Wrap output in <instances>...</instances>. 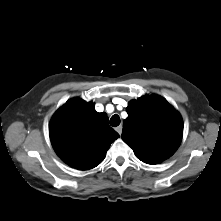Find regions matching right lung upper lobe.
Masks as SVG:
<instances>
[{"label": "right lung upper lobe", "instance_id": "right-lung-upper-lobe-1", "mask_svg": "<svg viewBox=\"0 0 221 221\" xmlns=\"http://www.w3.org/2000/svg\"><path fill=\"white\" fill-rule=\"evenodd\" d=\"M49 134L57 155L68 165L88 170L99 165L119 134L109 126L106 113L80 98L67 101L53 116Z\"/></svg>", "mask_w": 221, "mask_h": 221}]
</instances>
